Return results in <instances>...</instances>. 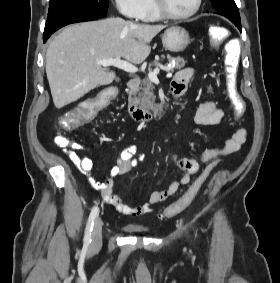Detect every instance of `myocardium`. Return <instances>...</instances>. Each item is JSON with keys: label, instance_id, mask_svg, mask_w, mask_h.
<instances>
[{"label": "myocardium", "instance_id": "f54148a6", "mask_svg": "<svg viewBox=\"0 0 280 283\" xmlns=\"http://www.w3.org/2000/svg\"><path fill=\"white\" fill-rule=\"evenodd\" d=\"M152 4L157 15L165 20H185L193 17L201 8L202 0H196L192 10L185 14H173L163 4V0H152Z\"/></svg>", "mask_w": 280, "mask_h": 283}]
</instances>
